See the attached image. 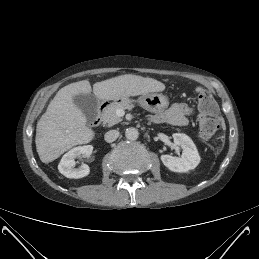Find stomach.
<instances>
[{
    "mask_svg": "<svg viewBox=\"0 0 259 259\" xmlns=\"http://www.w3.org/2000/svg\"><path fill=\"white\" fill-rule=\"evenodd\" d=\"M144 109L150 112H160L168 107L169 101L166 96L159 93H145L136 100ZM109 105L130 103L129 97L106 100Z\"/></svg>",
    "mask_w": 259,
    "mask_h": 259,
    "instance_id": "stomach-1",
    "label": "stomach"
}]
</instances>
